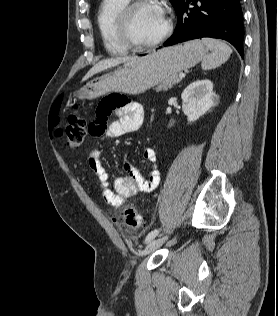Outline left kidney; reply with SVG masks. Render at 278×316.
Listing matches in <instances>:
<instances>
[{
	"instance_id": "1",
	"label": "left kidney",
	"mask_w": 278,
	"mask_h": 316,
	"mask_svg": "<svg viewBox=\"0 0 278 316\" xmlns=\"http://www.w3.org/2000/svg\"><path fill=\"white\" fill-rule=\"evenodd\" d=\"M182 110L188 122H193L209 111L217 101L213 83L208 80H197L186 87L181 95Z\"/></svg>"
}]
</instances>
